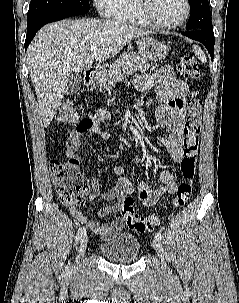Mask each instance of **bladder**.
I'll return each instance as SVG.
<instances>
[{
	"label": "bladder",
	"instance_id": "1",
	"mask_svg": "<svg viewBox=\"0 0 239 303\" xmlns=\"http://www.w3.org/2000/svg\"><path fill=\"white\" fill-rule=\"evenodd\" d=\"M105 259L119 263H131L138 260L141 245L137 237L129 233H119L116 237L99 246Z\"/></svg>",
	"mask_w": 239,
	"mask_h": 303
}]
</instances>
